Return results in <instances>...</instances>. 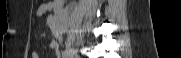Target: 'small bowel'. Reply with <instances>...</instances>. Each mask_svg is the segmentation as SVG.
<instances>
[{"label":"small bowel","mask_w":181,"mask_h":58,"mask_svg":"<svg viewBox=\"0 0 181 58\" xmlns=\"http://www.w3.org/2000/svg\"><path fill=\"white\" fill-rule=\"evenodd\" d=\"M53 9L55 10L54 3H52V2L44 3V4L39 6V8L37 10V14L39 16H42L45 13H47L48 11H51ZM50 48L57 52L58 51V44L55 41H53V42L50 43ZM32 58H39V56H38V54L36 52H33L32 53Z\"/></svg>","instance_id":"1"}]
</instances>
